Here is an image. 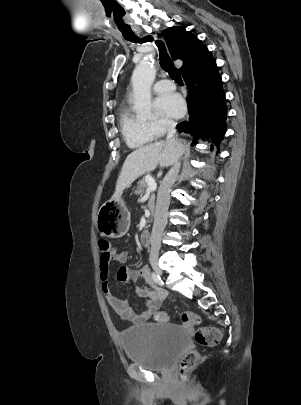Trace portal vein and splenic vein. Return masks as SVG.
<instances>
[{"label":"portal vein and splenic vein","mask_w":301,"mask_h":405,"mask_svg":"<svg viewBox=\"0 0 301 405\" xmlns=\"http://www.w3.org/2000/svg\"><path fill=\"white\" fill-rule=\"evenodd\" d=\"M147 183H148V187L146 189V193H150L152 191H155L157 188V184L155 182V180L152 177H146Z\"/></svg>","instance_id":"obj_1"}]
</instances>
